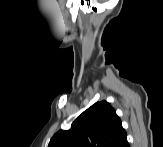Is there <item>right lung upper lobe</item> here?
I'll return each mask as SVG.
<instances>
[{
    "label": "right lung upper lobe",
    "instance_id": "cb5924a9",
    "mask_svg": "<svg viewBox=\"0 0 163 147\" xmlns=\"http://www.w3.org/2000/svg\"><path fill=\"white\" fill-rule=\"evenodd\" d=\"M126 134L121 120L107 101L86 109L68 130H60L48 147H113Z\"/></svg>",
    "mask_w": 163,
    "mask_h": 147
}]
</instances>
